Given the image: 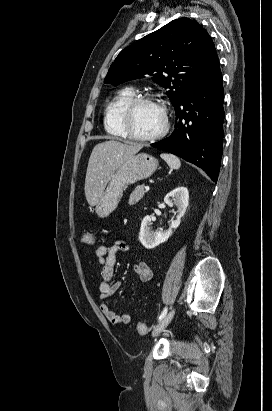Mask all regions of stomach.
Instances as JSON below:
<instances>
[{
    "instance_id": "0dacf381",
    "label": "stomach",
    "mask_w": 272,
    "mask_h": 411,
    "mask_svg": "<svg viewBox=\"0 0 272 411\" xmlns=\"http://www.w3.org/2000/svg\"><path fill=\"white\" fill-rule=\"evenodd\" d=\"M158 165V160L146 153L134 155L123 162L112 174L96 205L95 212L98 217H108L117 208L126 187L150 177Z\"/></svg>"
}]
</instances>
